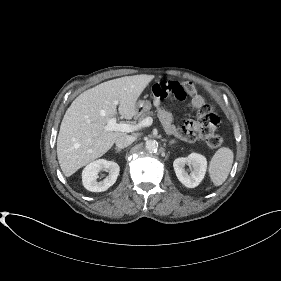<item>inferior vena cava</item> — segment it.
I'll list each match as a JSON object with an SVG mask.
<instances>
[{
    "label": "inferior vena cava",
    "mask_w": 281,
    "mask_h": 281,
    "mask_svg": "<svg viewBox=\"0 0 281 281\" xmlns=\"http://www.w3.org/2000/svg\"><path fill=\"white\" fill-rule=\"evenodd\" d=\"M134 141V137L130 135H123L116 139L115 144L119 149L128 147Z\"/></svg>",
    "instance_id": "602c4592"
}]
</instances>
